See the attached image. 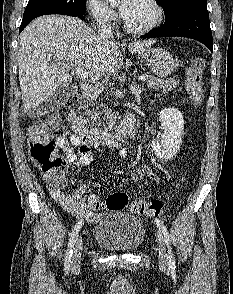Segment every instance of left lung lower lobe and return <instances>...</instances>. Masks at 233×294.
<instances>
[{
    "label": "left lung lower lobe",
    "instance_id": "obj_1",
    "mask_svg": "<svg viewBox=\"0 0 233 294\" xmlns=\"http://www.w3.org/2000/svg\"><path fill=\"white\" fill-rule=\"evenodd\" d=\"M187 37L206 45L213 52V38L206 6L185 5L165 16L164 24L140 38Z\"/></svg>",
    "mask_w": 233,
    "mask_h": 294
}]
</instances>
